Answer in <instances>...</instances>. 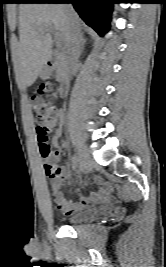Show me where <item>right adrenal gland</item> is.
<instances>
[{
	"mask_svg": "<svg viewBox=\"0 0 166 267\" xmlns=\"http://www.w3.org/2000/svg\"><path fill=\"white\" fill-rule=\"evenodd\" d=\"M85 43H86V40L82 38V47H84Z\"/></svg>",
	"mask_w": 166,
	"mask_h": 267,
	"instance_id": "1",
	"label": "right adrenal gland"
}]
</instances>
